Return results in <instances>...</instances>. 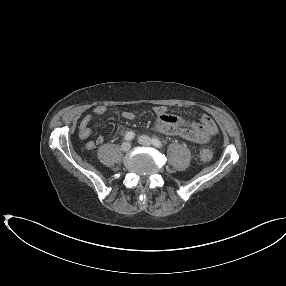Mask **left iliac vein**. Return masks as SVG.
<instances>
[{
    "label": "left iliac vein",
    "mask_w": 286,
    "mask_h": 286,
    "mask_svg": "<svg viewBox=\"0 0 286 286\" xmlns=\"http://www.w3.org/2000/svg\"><path fill=\"white\" fill-rule=\"evenodd\" d=\"M138 141L141 145H144V146H150L152 144L151 138L146 135L140 136Z\"/></svg>",
    "instance_id": "left-iliac-vein-1"
}]
</instances>
